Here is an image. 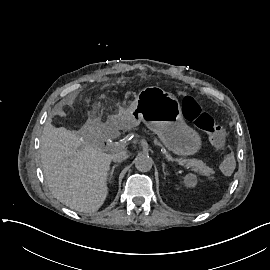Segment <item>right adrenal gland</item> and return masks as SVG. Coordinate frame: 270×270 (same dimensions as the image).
Returning a JSON list of instances; mask_svg holds the SVG:
<instances>
[{
	"label": "right adrenal gland",
	"mask_w": 270,
	"mask_h": 270,
	"mask_svg": "<svg viewBox=\"0 0 270 270\" xmlns=\"http://www.w3.org/2000/svg\"><path fill=\"white\" fill-rule=\"evenodd\" d=\"M118 166V164H115V165H113L112 166V169H111V171H110V177H109V180H111V178L113 177V173H114V169L116 168Z\"/></svg>",
	"instance_id": "2a0ac1e0"
}]
</instances>
